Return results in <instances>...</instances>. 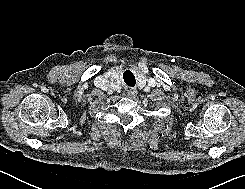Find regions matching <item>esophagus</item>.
Listing matches in <instances>:
<instances>
[{
    "label": "esophagus",
    "mask_w": 245,
    "mask_h": 189,
    "mask_svg": "<svg viewBox=\"0 0 245 189\" xmlns=\"http://www.w3.org/2000/svg\"><path fill=\"white\" fill-rule=\"evenodd\" d=\"M136 95H137V91H135V90L128 92V96L131 97V98L135 97Z\"/></svg>",
    "instance_id": "1"
}]
</instances>
